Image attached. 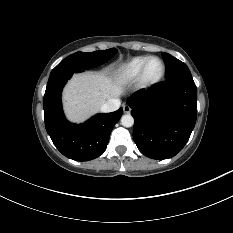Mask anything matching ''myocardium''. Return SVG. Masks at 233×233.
Returning a JSON list of instances; mask_svg holds the SVG:
<instances>
[{
    "label": "myocardium",
    "mask_w": 233,
    "mask_h": 233,
    "mask_svg": "<svg viewBox=\"0 0 233 233\" xmlns=\"http://www.w3.org/2000/svg\"><path fill=\"white\" fill-rule=\"evenodd\" d=\"M158 60L161 65H162V70H161V73L160 75L155 78V79H148L146 77V69H147V66H148V63L151 61V60ZM165 73H166V65L164 63V61L158 57V56H150L146 59V61L144 62L141 70H140V73L138 75V78H137V84H138V87L141 88V89H148V88H151L155 85H157L158 83H160L164 76H165Z\"/></svg>",
    "instance_id": "obj_1"
}]
</instances>
